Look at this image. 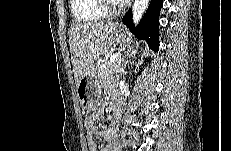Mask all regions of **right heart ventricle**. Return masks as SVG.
<instances>
[{
	"mask_svg": "<svg viewBox=\"0 0 231 151\" xmlns=\"http://www.w3.org/2000/svg\"><path fill=\"white\" fill-rule=\"evenodd\" d=\"M72 13L78 24L95 23L104 18L97 6V0H72Z\"/></svg>",
	"mask_w": 231,
	"mask_h": 151,
	"instance_id": "right-heart-ventricle-1",
	"label": "right heart ventricle"
}]
</instances>
